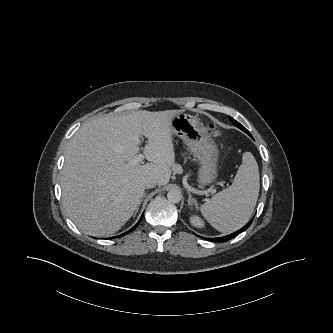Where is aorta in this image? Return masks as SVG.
I'll return each instance as SVG.
<instances>
[{"instance_id": "762f6f07", "label": "aorta", "mask_w": 333, "mask_h": 333, "mask_svg": "<svg viewBox=\"0 0 333 333\" xmlns=\"http://www.w3.org/2000/svg\"><path fill=\"white\" fill-rule=\"evenodd\" d=\"M167 198L172 203H179L181 200V194L178 190L172 189L168 191Z\"/></svg>"}]
</instances>
